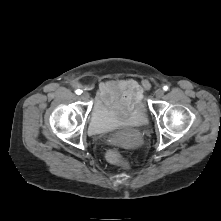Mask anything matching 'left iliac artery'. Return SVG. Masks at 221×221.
I'll return each instance as SVG.
<instances>
[{
    "label": "left iliac artery",
    "mask_w": 221,
    "mask_h": 221,
    "mask_svg": "<svg viewBox=\"0 0 221 221\" xmlns=\"http://www.w3.org/2000/svg\"><path fill=\"white\" fill-rule=\"evenodd\" d=\"M165 91H167L168 90V86H164V88H163Z\"/></svg>",
    "instance_id": "left-iliac-artery-1"
}]
</instances>
